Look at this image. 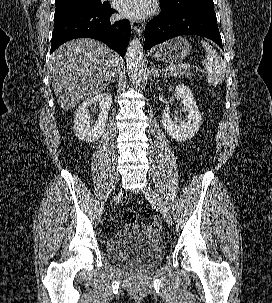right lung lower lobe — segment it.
Listing matches in <instances>:
<instances>
[{
    "mask_svg": "<svg viewBox=\"0 0 272 303\" xmlns=\"http://www.w3.org/2000/svg\"><path fill=\"white\" fill-rule=\"evenodd\" d=\"M112 13L114 9L106 6L101 11H82L54 19L50 53L68 40L85 37L102 41L124 57L131 36L130 22L110 21Z\"/></svg>",
    "mask_w": 272,
    "mask_h": 303,
    "instance_id": "right-lung-lower-lobe-1",
    "label": "right lung lower lobe"
}]
</instances>
